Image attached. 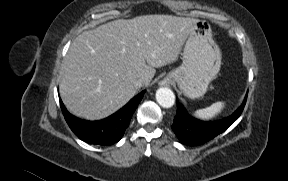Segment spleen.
Wrapping results in <instances>:
<instances>
[{"instance_id":"3e777b00","label":"spleen","mask_w":288,"mask_h":181,"mask_svg":"<svg viewBox=\"0 0 288 181\" xmlns=\"http://www.w3.org/2000/svg\"><path fill=\"white\" fill-rule=\"evenodd\" d=\"M225 107V102L219 101L213 103L211 106L196 110L194 115L201 119H210L219 114Z\"/></svg>"}]
</instances>
